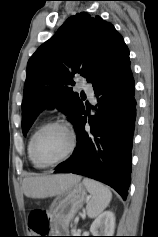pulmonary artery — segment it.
Masks as SVG:
<instances>
[{
  "label": "pulmonary artery",
  "mask_w": 158,
  "mask_h": 237,
  "mask_svg": "<svg viewBox=\"0 0 158 237\" xmlns=\"http://www.w3.org/2000/svg\"><path fill=\"white\" fill-rule=\"evenodd\" d=\"M85 89H86V91H88V92H92V87L91 86H89V85H87L86 87H85Z\"/></svg>",
  "instance_id": "obj_1"
}]
</instances>
